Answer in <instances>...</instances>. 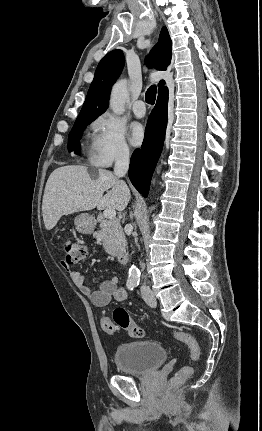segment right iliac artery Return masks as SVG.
<instances>
[{
	"instance_id": "obj_1",
	"label": "right iliac artery",
	"mask_w": 262,
	"mask_h": 431,
	"mask_svg": "<svg viewBox=\"0 0 262 431\" xmlns=\"http://www.w3.org/2000/svg\"><path fill=\"white\" fill-rule=\"evenodd\" d=\"M127 288L132 291L134 289V287H136L137 283L136 282H132V281H128L127 282Z\"/></svg>"
}]
</instances>
